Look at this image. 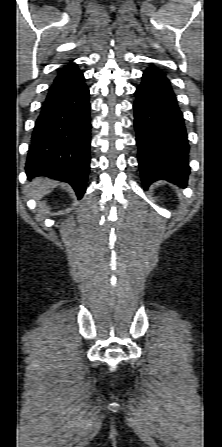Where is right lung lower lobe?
I'll return each mask as SVG.
<instances>
[{"label":"right lung lower lobe","mask_w":222,"mask_h":447,"mask_svg":"<svg viewBox=\"0 0 222 447\" xmlns=\"http://www.w3.org/2000/svg\"><path fill=\"white\" fill-rule=\"evenodd\" d=\"M89 89L76 64L57 77L42 103L29 148L26 173L70 183L78 199L90 168Z\"/></svg>","instance_id":"98d812e1"}]
</instances>
